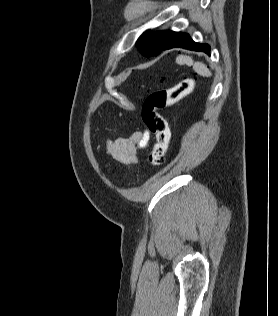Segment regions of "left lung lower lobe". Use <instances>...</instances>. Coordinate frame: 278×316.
<instances>
[{"label": "left lung lower lobe", "mask_w": 278, "mask_h": 316, "mask_svg": "<svg viewBox=\"0 0 278 316\" xmlns=\"http://www.w3.org/2000/svg\"><path fill=\"white\" fill-rule=\"evenodd\" d=\"M171 48H184L193 51H202L210 55V46L208 44L196 43L186 33L177 32L164 50Z\"/></svg>", "instance_id": "1"}]
</instances>
